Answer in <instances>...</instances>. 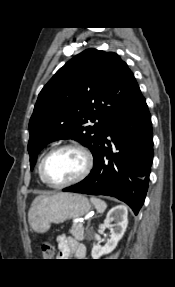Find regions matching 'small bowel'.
I'll list each match as a JSON object with an SVG mask.
<instances>
[{"label": "small bowel", "instance_id": "obj_1", "mask_svg": "<svg viewBox=\"0 0 175 287\" xmlns=\"http://www.w3.org/2000/svg\"><path fill=\"white\" fill-rule=\"evenodd\" d=\"M57 244L59 248L58 256L61 259L74 257L81 260L86 257V247L73 238L60 235L57 237Z\"/></svg>", "mask_w": 175, "mask_h": 287}]
</instances>
